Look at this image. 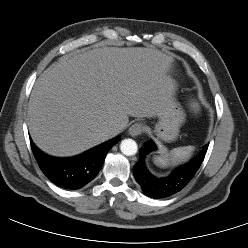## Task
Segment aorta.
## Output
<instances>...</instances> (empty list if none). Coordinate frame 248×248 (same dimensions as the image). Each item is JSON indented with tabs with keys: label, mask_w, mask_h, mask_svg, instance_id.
<instances>
[{
	"label": "aorta",
	"mask_w": 248,
	"mask_h": 248,
	"mask_svg": "<svg viewBox=\"0 0 248 248\" xmlns=\"http://www.w3.org/2000/svg\"><path fill=\"white\" fill-rule=\"evenodd\" d=\"M121 152L126 156H132L137 153V143L132 139H124L120 144Z\"/></svg>",
	"instance_id": "762f6f07"
}]
</instances>
